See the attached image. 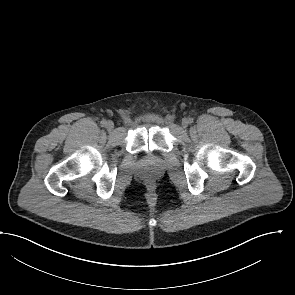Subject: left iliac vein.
Masks as SVG:
<instances>
[{"label":"left iliac vein","instance_id":"left-iliac-vein-1","mask_svg":"<svg viewBox=\"0 0 295 295\" xmlns=\"http://www.w3.org/2000/svg\"><path fill=\"white\" fill-rule=\"evenodd\" d=\"M188 124H189L188 119L184 118V119L182 120V127H183V128H186V127L188 126Z\"/></svg>","mask_w":295,"mask_h":295}]
</instances>
